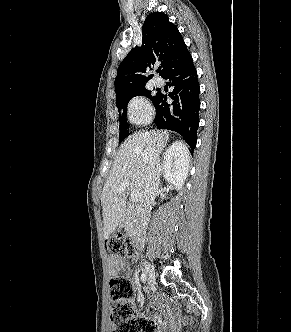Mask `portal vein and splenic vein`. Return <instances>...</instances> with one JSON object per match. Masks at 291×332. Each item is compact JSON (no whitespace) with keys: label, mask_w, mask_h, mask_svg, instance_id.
Returning a JSON list of instances; mask_svg holds the SVG:
<instances>
[{"label":"portal vein and splenic vein","mask_w":291,"mask_h":332,"mask_svg":"<svg viewBox=\"0 0 291 332\" xmlns=\"http://www.w3.org/2000/svg\"><path fill=\"white\" fill-rule=\"evenodd\" d=\"M128 187H129L128 182H126V181L122 182L121 185H120V190L124 191ZM130 196H131V200L133 202H139L142 199V193L140 191H132Z\"/></svg>","instance_id":"18ae733b"}]
</instances>
